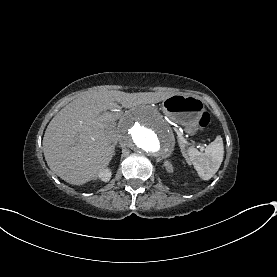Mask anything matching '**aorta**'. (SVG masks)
Listing matches in <instances>:
<instances>
[{
  "mask_svg": "<svg viewBox=\"0 0 277 277\" xmlns=\"http://www.w3.org/2000/svg\"><path fill=\"white\" fill-rule=\"evenodd\" d=\"M120 139L134 153L154 160H165L175 146L169 124L155 111L140 108L121 122Z\"/></svg>",
  "mask_w": 277,
  "mask_h": 277,
  "instance_id": "762f6f07",
  "label": "aorta"
}]
</instances>
